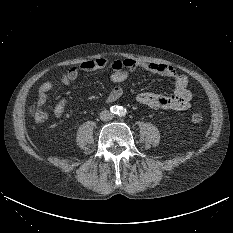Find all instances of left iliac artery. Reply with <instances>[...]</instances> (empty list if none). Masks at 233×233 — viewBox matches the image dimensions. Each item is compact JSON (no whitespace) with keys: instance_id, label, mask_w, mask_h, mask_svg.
Masks as SVG:
<instances>
[{"instance_id":"44dca946","label":"left iliac artery","mask_w":233,"mask_h":233,"mask_svg":"<svg viewBox=\"0 0 233 233\" xmlns=\"http://www.w3.org/2000/svg\"><path fill=\"white\" fill-rule=\"evenodd\" d=\"M120 116H124L126 114V109H124L123 107L120 108L119 111Z\"/></svg>"}]
</instances>
